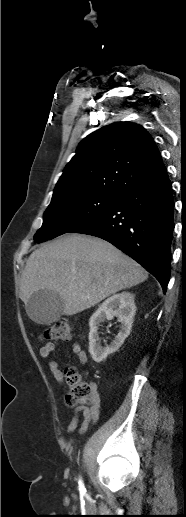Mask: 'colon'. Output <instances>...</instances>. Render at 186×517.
I'll list each match as a JSON object with an SVG mask.
<instances>
[{
  "label": "colon",
  "mask_w": 186,
  "mask_h": 517,
  "mask_svg": "<svg viewBox=\"0 0 186 517\" xmlns=\"http://www.w3.org/2000/svg\"><path fill=\"white\" fill-rule=\"evenodd\" d=\"M72 333L71 324L66 320H61L46 327L40 337L46 341L63 340L70 338ZM65 378L69 386L66 400L70 406L93 402L95 393L93 383L82 380L79 372L74 368L66 371Z\"/></svg>",
  "instance_id": "5ec220e1"
}]
</instances>
